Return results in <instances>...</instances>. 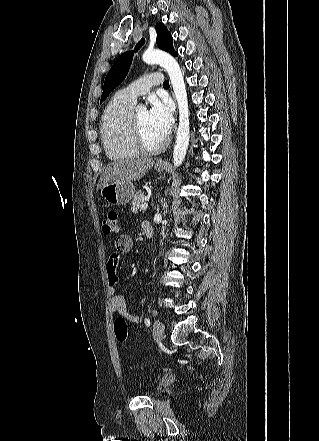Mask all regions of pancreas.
I'll use <instances>...</instances> for the list:
<instances>
[{
  "instance_id": "cf45deb5",
  "label": "pancreas",
  "mask_w": 319,
  "mask_h": 441,
  "mask_svg": "<svg viewBox=\"0 0 319 441\" xmlns=\"http://www.w3.org/2000/svg\"><path fill=\"white\" fill-rule=\"evenodd\" d=\"M146 199V196L144 192L139 190L135 195L133 200L131 201V210L134 213H137L139 210H141V205L144 203Z\"/></svg>"
}]
</instances>
